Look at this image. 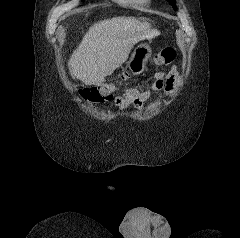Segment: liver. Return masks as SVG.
<instances>
[{"mask_svg":"<svg viewBox=\"0 0 240 238\" xmlns=\"http://www.w3.org/2000/svg\"><path fill=\"white\" fill-rule=\"evenodd\" d=\"M159 31L134 17L100 21L85 33L70 59L72 76L85 85H100L128 58L139 41L151 39Z\"/></svg>","mask_w":240,"mask_h":238,"instance_id":"1","label":"liver"}]
</instances>
